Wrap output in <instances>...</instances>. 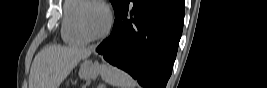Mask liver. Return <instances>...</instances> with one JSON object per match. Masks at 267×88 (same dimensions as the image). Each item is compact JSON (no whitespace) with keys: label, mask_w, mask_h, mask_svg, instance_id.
<instances>
[{"label":"liver","mask_w":267,"mask_h":88,"mask_svg":"<svg viewBox=\"0 0 267 88\" xmlns=\"http://www.w3.org/2000/svg\"><path fill=\"white\" fill-rule=\"evenodd\" d=\"M90 55V49L75 46L43 48L32 63L29 88H59L74 67Z\"/></svg>","instance_id":"liver-1"}]
</instances>
